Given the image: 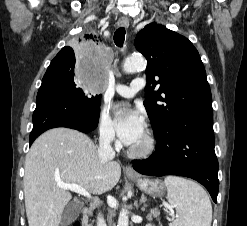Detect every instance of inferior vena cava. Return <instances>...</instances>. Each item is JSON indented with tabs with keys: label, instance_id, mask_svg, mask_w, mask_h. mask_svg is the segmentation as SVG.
Segmentation results:
<instances>
[{
	"label": "inferior vena cava",
	"instance_id": "1",
	"mask_svg": "<svg viewBox=\"0 0 247 226\" xmlns=\"http://www.w3.org/2000/svg\"><path fill=\"white\" fill-rule=\"evenodd\" d=\"M115 137V133L113 128L105 127L100 131L99 138V148H98V156L101 163L105 164L109 160H112L115 157V151L111 146V142ZM97 226H106L105 220L103 216H98Z\"/></svg>",
	"mask_w": 247,
	"mask_h": 226
}]
</instances>
